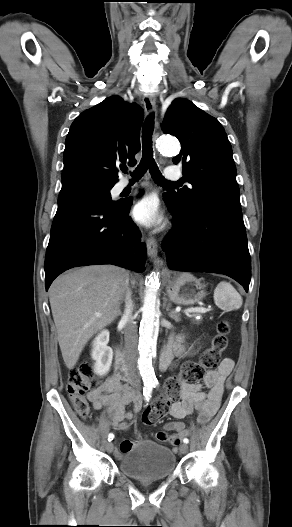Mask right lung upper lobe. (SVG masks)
Listing matches in <instances>:
<instances>
[{
  "instance_id": "cb5924a9",
  "label": "right lung upper lobe",
  "mask_w": 292,
  "mask_h": 527,
  "mask_svg": "<svg viewBox=\"0 0 292 527\" xmlns=\"http://www.w3.org/2000/svg\"><path fill=\"white\" fill-rule=\"evenodd\" d=\"M143 115L141 107L119 96L82 112L66 137L62 182L89 178L114 185L120 162L136 164Z\"/></svg>"
}]
</instances>
